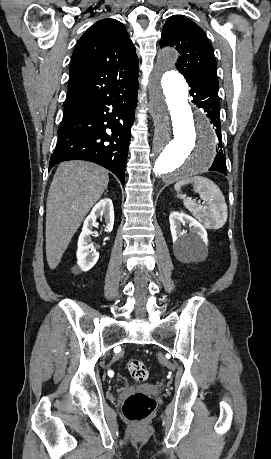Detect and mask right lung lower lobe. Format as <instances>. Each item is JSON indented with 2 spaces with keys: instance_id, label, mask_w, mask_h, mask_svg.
<instances>
[{
  "instance_id": "obj_1",
  "label": "right lung lower lobe",
  "mask_w": 271,
  "mask_h": 459,
  "mask_svg": "<svg viewBox=\"0 0 271 459\" xmlns=\"http://www.w3.org/2000/svg\"><path fill=\"white\" fill-rule=\"evenodd\" d=\"M138 76L65 112L49 170L62 161L87 160L112 171L124 184Z\"/></svg>"
}]
</instances>
